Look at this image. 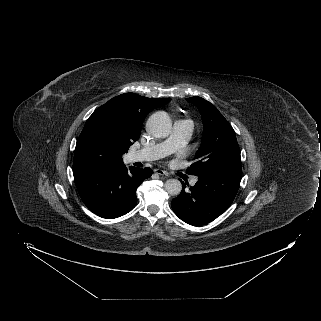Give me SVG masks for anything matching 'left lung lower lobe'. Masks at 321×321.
Instances as JSON below:
<instances>
[{
	"label": "left lung lower lobe",
	"mask_w": 321,
	"mask_h": 321,
	"mask_svg": "<svg viewBox=\"0 0 321 321\" xmlns=\"http://www.w3.org/2000/svg\"><path fill=\"white\" fill-rule=\"evenodd\" d=\"M242 171H215L198 176L195 186L172 200L174 213L184 222L199 226L207 224L232 204L238 191Z\"/></svg>",
	"instance_id": "obj_1"
}]
</instances>
